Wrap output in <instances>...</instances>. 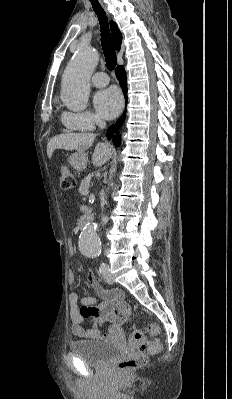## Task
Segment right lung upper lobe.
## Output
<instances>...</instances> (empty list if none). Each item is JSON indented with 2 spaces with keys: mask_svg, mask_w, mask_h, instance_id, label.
<instances>
[{
  "mask_svg": "<svg viewBox=\"0 0 232 399\" xmlns=\"http://www.w3.org/2000/svg\"><path fill=\"white\" fill-rule=\"evenodd\" d=\"M110 27H111V32H112V37H113V42L114 46L117 50H120L121 47V41H122V35L121 32L119 31L117 25L115 22L111 21L110 22Z\"/></svg>",
  "mask_w": 232,
  "mask_h": 399,
  "instance_id": "obj_1",
  "label": "right lung upper lobe"
}]
</instances>
